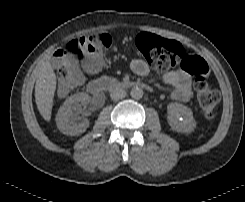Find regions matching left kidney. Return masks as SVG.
<instances>
[{"mask_svg":"<svg viewBox=\"0 0 245 202\" xmlns=\"http://www.w3.org/2000/svg\"><path fill=\"white\" fill-rule=\"evenodd\" d=\"M167 121L172 130L190 133L196 127V121L190 108L180 103H171L167 106Z\"/></svg>","mask_w":245,"mask_h":202,"instance_id":"obj_1","label":"left kidney"}]
</instances>
